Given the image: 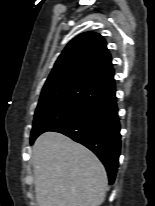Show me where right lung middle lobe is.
<instances>
[{
    "label": "right lung middle lobe",
    "mask_w": 155,
    "mask_h": 206,
    "mask_svg": "<svg viewBox=\"0 0 155 206\" xmlns=\"http://www.w3.org/2000/svg\"><path fill=\"white\" fill-rule=\"evenodd\" d=\"M105 95L99 90L85 86L42 91L35 111L30 143L43 132L50 131L93 106Z\"/></svg>",
    "instance_id": "1"
}]
</instances>
